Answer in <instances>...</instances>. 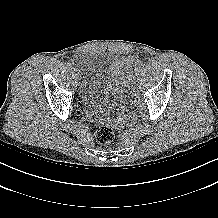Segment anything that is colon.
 Listing matches in <instances>:
<instances>
[{
	"instance_id": "5ec220e1",
	"label": "colon",
	"mask_w": 218,
	"mask_h": 218,
	"mask_svg": "<svg viewBox=\"0 0 218 218\" xmlns=\"http://www.w3.org/2000/svg\"><path fill=\"white\" fill-rule=\"evenodd\" d=\"M95 138L96 141L101 145L111 142L114 138V131L111 125L104 121L98 122Z\"/></svg>"
}]
</instances>
